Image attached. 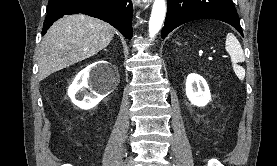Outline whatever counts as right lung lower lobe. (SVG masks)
Here are the masks:
<instances>
[{"mask_svg":"<svg viewBox=\"0 0 277 166\" xmlns=\"http://www.w3.org/2000/svg\"><path fill=\"white\" fill-rule=\"evenodd\" d=\"M76 13L104 20L118 29L127 39L132 38L131 0H49L42 34L44 35L57 19Z\"/></svg>","mask_w":277,"mask_h":166,"instance_id":"1","label":"right lung lower lobe"}]
</instances>
